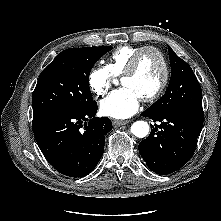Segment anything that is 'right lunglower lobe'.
Returning a JSON list of instances; mask_svg holds the SVG:
<instances>
[{
    "instance_id": "obj_1",
    "label": "right lung lower lobe",
    "mask_w": 221,
    "mask_h": 221,
    "mask_svg": "<svg viewBox=\"0 0 221 221\" xmlns=\"http://www.w3.org/2000/svg\"><path fill=\"white\" fill-rule=\"evenodd\" d=\"M97 103L83 109H55L33 115L32 129L47 161L61 174L84 177L104 151L110 119L97 118Z\"/></svg>"
}]
</instances>
